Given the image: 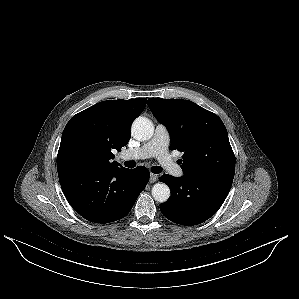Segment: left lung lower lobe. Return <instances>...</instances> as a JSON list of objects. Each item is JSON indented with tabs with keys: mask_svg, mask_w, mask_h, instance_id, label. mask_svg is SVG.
Instances as JSON below:
<instances>
[{
	"mask_svg": "<svg viewBox=\"0 0 299 299\" xmlns=\"http://www.w3.org/2000/svg\"><path fill=\"white\" fill-rule=\"evenodd\" d=\"M171 189L170 199L160 205L162 214L177 224L193 226L213 216L231 188L233 177L211 174L162 175Z\"/></svg>",
	"mask_w": 299,
	"mask_h": 299,
	"instance_id": "obj_1",
	"label": "left lung lower lobe"
}]
</instances>
